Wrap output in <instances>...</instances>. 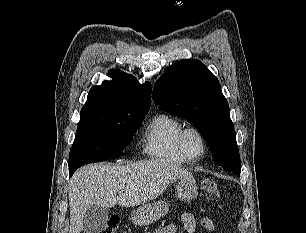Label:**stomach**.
I'll return each mask as SVG.
<instances>
[{
	"mask_svg": "<svg viewBox=\"0 0 306 233\" xmlns=\"http://www.w3.org/2000/svg\"><path fill=\"white\" fill-rule=\"evenodd\" d=\"M178 197L183 201L194 200L198 195V186L193 178H180L177 183ZM169 211V203L166 201H157L145 204L131 214V220L135 225L146 226L165 216Z\"/></svg>",
	"mask_w": 306,
	"mask_h": 233,
	"instance_id": "stomach-1",
	"label": "stomach"
}]
</instances>
